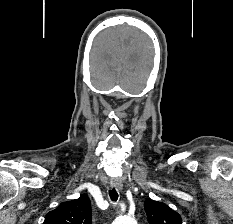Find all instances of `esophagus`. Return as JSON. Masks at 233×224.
I'll use <instances>...</instances> for the list:
<instances>
[{"label": "esophagus", "mask_w": 233, "mask_h": 224, "mask_svg": "<svg viewBox=\"0 0 233 224\" xmlns=\"http://www.w3.org/2000/svg\"><path fill=\"white\" fill-rule=\"evenodd\" d=\"M111 188H115L118 191H121L123 188L122 182L119 179H113L111 182Z\"/></svg>", "instance_id": "34e87169"}]
</instances>
